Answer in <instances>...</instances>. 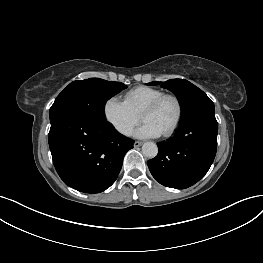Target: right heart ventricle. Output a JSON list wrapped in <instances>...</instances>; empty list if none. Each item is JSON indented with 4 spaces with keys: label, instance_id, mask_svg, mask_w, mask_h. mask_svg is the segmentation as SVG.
I'll list each match as a JSON object with an SVG mask.
<instances>
[{
    "label": "right heart ventricle",
    "instance_id": "obj_1",
    "mask_svg": "<svg viewBox=\"0 0 263 263\" xmlns=\"http://www.w3.org/2000/svg\"><path fill=\"white\" fill-rule=\"evenodd\" d=\"M162 94H164V92L160 89L149 86H138L129 90L124 95V101L135 113L140 115L148 103Z\"/></svg>",
    "mask_w": 263,
    "mask_h": 263
}]
</instances>
